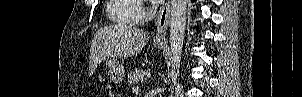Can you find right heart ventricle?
<instances>
[{
    "label": "right heart ventricle",
    "mask_w": 302,
    "mask_h": 97,
    "mask_svg": "<svg viewBox=\"0 0 302 97\" xmlns=\"http://www.w3.org/2000/svg\"><path fill=\"white\" fill-rule=\"evenodd\" d=\"M106 11L115 25L134 27L139 23V4L136 0H109Z\"/></svg>",
    "instance_id": "right-heart-ventricle-1"
}]
</instances>
